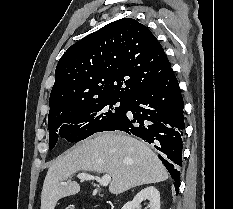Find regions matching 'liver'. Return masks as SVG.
Returning <instances> with one entry per match:
<instances>
[{
    "instance_id": "liver-1",
    "label": "liver",
    "mask_w": 233,
    "mask_h": 209,
    "mask_svg": "<svg viewBox=\"0 0 233 209\" xmlns=\"http://www.w3.org/2000/svg\"><path fill=\"white\" fill-rule=\"evenodd\" d=\"M79 171L109 174V192L115 195L169 177L161 161L143 142L122 133H99L50 166L41 192V209H54L61 198L77 194L79 184L69 179Z\"/></svg>"
}]
</instances>
